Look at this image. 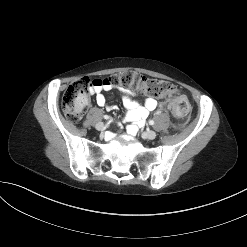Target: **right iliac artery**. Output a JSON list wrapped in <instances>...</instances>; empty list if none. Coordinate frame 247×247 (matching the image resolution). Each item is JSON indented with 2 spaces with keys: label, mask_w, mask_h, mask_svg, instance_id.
Here are the masks:
<instances>
[{
  "label": "right iliac artery",
  "mask_w": 247,
  "mask_h": 247,
  "mask_svg": "<svg viewBox=\"0 0 247 247\" xmlns=\"http://www.w3.org/2000/svg\"><path fill=\"white\" fill-rule=\"evenodd\" d=\"M104 118H105V119H109L110 117H109L108 115H105Z\"/></svg>",
  "instance_id": "82829eb1"
}]
</instances>
